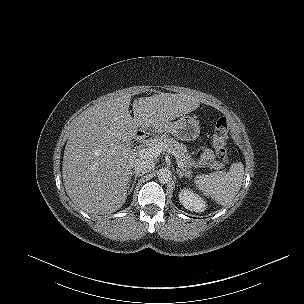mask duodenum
<instances>
[{
    "label": "duodenum",
    "mask_w": 304,
    "mask_h": 304,
    "mask_svg": "<svg viewBox=\"0 0 304 304\" xmlns=\"http://www.w3.org/2000/svg\"><path fill=\"white\" fill-rule=\"evenodd\" d=\"M141 138H142V133L139 132V133L136 135V139H137V140H140Z\"/></svg>",
    "instance_id": "duodenum-1"
}]
</instances>
